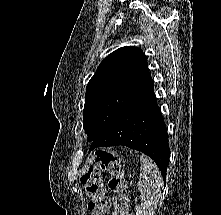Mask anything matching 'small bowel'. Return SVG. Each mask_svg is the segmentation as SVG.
<instances>
[{
  "instance_id": "obj_1",
  "label": "small bowel",
  "mask_w": 221,
  "mask_h": 215,
  "mask_svg": "<svg viewBox=\"0 0 221 215\" xmlns=\"http://www.w3.org/2000/svg\"><path fill=\"white\" fill-rule=\"evenodd\" d=\"M112 215H118L117 212H113Z\"/></svg>"
}]
</instances>
